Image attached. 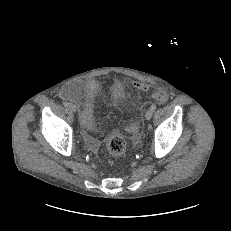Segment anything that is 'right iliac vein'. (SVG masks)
Masks as SVG:
<instances>
[{
  "instance_id": "obj_1",
  "label": "right iliac vein",
  "mask_w": 231,
  "mask_h": 231,
  "mask_svg": "<svg viewBox=\"0 0 231 231\" xmlns=\"http://www.w3.org/2000/svg\"><path fill=\"white\" fill-rule=\"evenodd\" d=\"M68 108H69L71 111H73V112H76V111H77V107H76V105H74L73 103H69Z\"/></svg>"
}]
</instances>
